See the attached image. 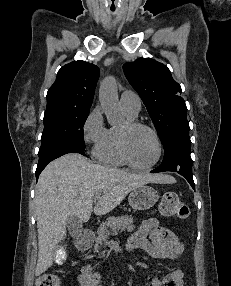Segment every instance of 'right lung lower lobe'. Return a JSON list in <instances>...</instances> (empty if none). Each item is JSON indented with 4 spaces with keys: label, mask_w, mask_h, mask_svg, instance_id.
<instances>
[{
    "label": "right lung lower lobe",
    "mask_w": 231,
    "mask_h": 286,
    "mask_svg": "<svg viewBox=\"0 0 231 286\" xmlns=\"http://www.w3.org/2000/svg\"><path fill=\"white\" fill-rule=\"evenodd\" d=\"M72 152H76V153H80L82 155L84 154V149L80 148L78 146L75 145H61V146H57L54 147L50 150L45 151L44 153L39 155V162L37 165V169H36V178L38 179L39 174L42 172V170L46 167V165L51 162L52 160L67 154V153H72Z\"/></svg>",
    "instance_id": "1"
}]
</instances>
